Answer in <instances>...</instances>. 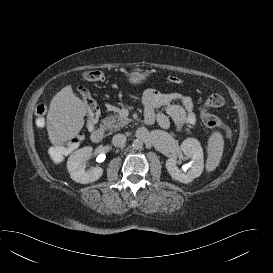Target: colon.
<instances>
[{
	"instance_id": "1",
	"label": "colon",
	"mask_w": 273,
	"mask_h": 273,
	"mask_svg": "<svg viewBox=\"0 0 273 273\" xmlns=\"http://www.w3.org/2000/svg\"><path fill=\"white\" fill-rule=\"evenodd\" d=\"M84 78L90 82H99L104 79V73L99 69H89L84 72ZM169 81L171 83H180V79L176 76L169 77ZM78 93L82 97L85 102L87 109V125L89 127H93L99 117V107L89 92L85 87H79ZM225 101L224 98L218 94L210 95L204 102L201 111L200 117L204 125L210 128H216L221 130L227 139H231L233 137L232 130L217 116L208 112L209 108L222 107ZM45 105L39 104L36 108V115L38 119H42L45 114ZM56 151V148L53 149L52 153Z\"/></svg>"
}]
</instances>
